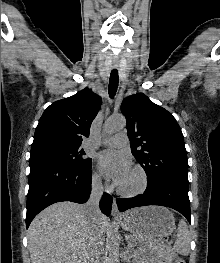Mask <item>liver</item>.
<instances>
[{"label":"liver","instance_id":"liver-1","mask_svg":"<svg viewBox=\"0 0 220 263\" xmlns=\"http://www.w3.org/2000/svg\"><path fill=\"white\" fill-rule=\"evenodd\" d=\"M97 226L104 233L108 218L101 214ZM27 236L31 263H87L91 220L85 205L58 202L33 219Z\"/></svg>","mask_w":220,"mask_h":263}]
</instances>
